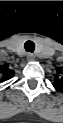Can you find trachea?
I'll use <instances>...</instances> for the list:
<instances>
[{"label": "trachea", "mask_w": 63, "mask_h": 123, "mask_svg": "<svg viewBox=\"0 0 63 123\" xmlns=\"http://www.w3.org/2000/svg\"><path fill=\"white\" fill-rule=\"evenodd\" d=\"M24 48H25V50H26L27 52L32 53V52L34 51V49H35V44H34V42L31 41V40H27V41L25 42V44H24Z\"/></svg>", "instance_id": "trachea-1"}]
</instances>
